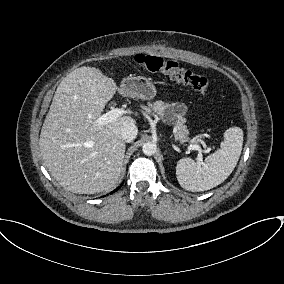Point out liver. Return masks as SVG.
Listing matches in <instances>:
<instances>
[{"label":"liver","mask_w":284,"mask_h":284,"mask_svg":"<svg viewBox=\"0 0 284 284\" xmlns=\"http://www.w3.org/2000/svg\"><path fill=\"white\" fill-rule=\"evenodd\" d=\"M116 90L112 78L85 66L69 73L56 89L39 146L44 165L68 191L94 194L119 181L126 149L121 128L135 120L122 116L103 126L95 123Z\"/></svg>","instance_id":"liver-1"}]
</instances>
